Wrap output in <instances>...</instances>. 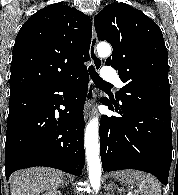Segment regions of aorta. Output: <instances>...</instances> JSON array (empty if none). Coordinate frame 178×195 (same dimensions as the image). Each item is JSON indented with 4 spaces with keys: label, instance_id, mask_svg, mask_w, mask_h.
<instances>
[{
    "label": "aorta",
    "instance_id": "1",
    "mask_svg": "<svg viewBox=\"0 0 178 195\" xmlns=\"http://www.w3.org/2000/svg\"><path fill=\"white\" fill-rule=\"evenodd\" d=\"M111 46L108 43L101 42L97 45V53L101 57H108L111 54ZM99 121L93 117L86 126L84 142L86 158L89 169V181L92 188L97 192L100 188L101 180V161L99 158Z\"/></svg>",
    "mask_w": 178,
    "mask_h": 195
}]
</instances>
